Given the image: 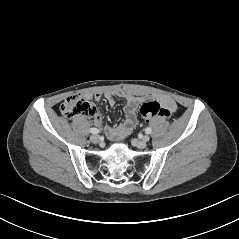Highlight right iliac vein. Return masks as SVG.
<instances>
[{
    "mask_svg": "<svg viewBox=\"0 0 239 239\" xmlns=\"http://www.w3.org/2000/svg\"><path fill=\"white\" fill-rule=\"evenodd\" d=\"M90 141L92 142V143H98L99 141H100V137L98 136V135H91V137H90Z\"/></svg>",
    "mask_w": 239,
    "mask_h": 239,
    "instance_id": "1",
    "label": "right iliac vein"
}]
</instances>
